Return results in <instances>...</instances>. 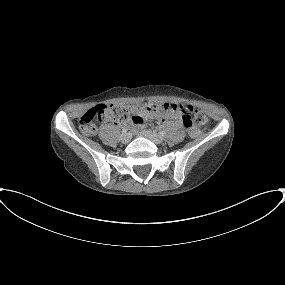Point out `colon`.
<instances>
[{"label":"colon","mask_w":285,"mask_h":285,"mask_svg":"<svg viewBox=\"0 0 285 285\" xmlns=\"http://www.w3.org/2000/svg\"><path fill=\"white\" fill-rule=\"evenodd\" d=\"M160 104H138L135 106H126L119 104H99L84 112L79 121V127L84 135H93L96 132L95 121L121 122L134 121L146 114H152L159 110ZM181 115L184 125L191 135H196V125L206 124L207 116L195 110L190 105H178L176 107Z\"/></svg>","instance_id":"5ec220e1"}]
</instances>
